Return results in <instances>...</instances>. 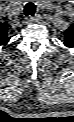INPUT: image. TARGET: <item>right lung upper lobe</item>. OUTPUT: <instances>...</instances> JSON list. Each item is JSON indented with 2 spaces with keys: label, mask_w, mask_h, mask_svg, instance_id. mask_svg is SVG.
<instances>
[{
  "label": "right lung upper lobe",
  "mask_w": 74,
  "mask_h": 122,
  "mask_svg": "<svg viewBox=\"0 0 74 122\" xmlns=\"http://www.w3.org/2000/svg\"><path fill=\"white\" fill-rule=\"evenodd\" d=\"M8 24H0V46L9 42L7 35Z\"/></svg>",
  "instance_id": "cb5924a9"
}]
</instances>
